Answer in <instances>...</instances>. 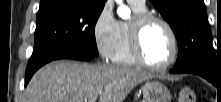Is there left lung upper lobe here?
I'll return each mask as SVG.
<instances>
[{"label": "left lung upper lobe", "mask_w": 221, "mask_h": 102, "mask_svg": "<svg viewBox=\"0 0 221 102\" xmlns=\"http://www.w3.org/2000/svg\"><path fill=\"white\" fill-rule=\"evenodd\" d=\"M173 29L178 42L175 68L198 65L217 76L221 71V54L215 52L211 40L203 0H151Z\"/></svg>", "instance_id": "obj_1"}]
</instances>
